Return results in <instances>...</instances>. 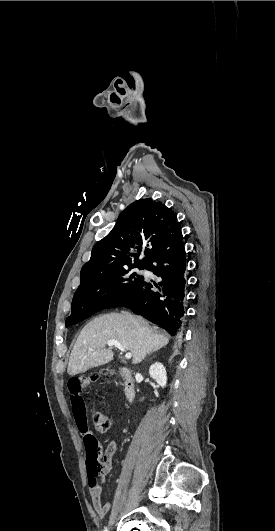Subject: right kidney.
I'll use <instances>...</instances> for the list:
<instances>
[{"mask_svg": "<svg viewBox=\"0 0 275 531\" xmlns=\"http://www.w3.org/2000/svg\"><path fill=\"white\" fill-rule=\"evenodd\" d=\"M149 375L152 379H155L156 383L160 387H166L167 383V373L164 365L162 363H154L149 369Z\"/></svg>", "mask_w": 275, "mask_h": 531, "instance_id": "obj_1", "label": "right kidney"}]
</instances>
